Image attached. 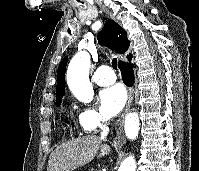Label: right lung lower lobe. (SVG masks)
<instances>
[{"label":"right lung lower lobe","mask_w":199,"mask_h":171,"mask_svg":"<svg viewBox=\"0 0 199 171\" xmlns=\"http://www.w3.org/2000/svg\"><path fill=\"white\" fill-rule=\"evenodd\" d=\"M128 60L131 61V58ZM118 67L121 70L123 82L127 86H132L134 84V72L132 70L133 65L126 62H122L118 64Z\"/></svg>","instance_id":"1"}]
</instances>
